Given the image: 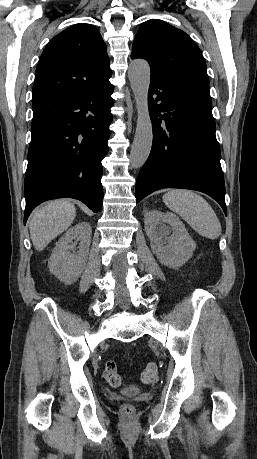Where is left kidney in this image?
<instances>
[{
    "label": "left kidney",
    "mask_w": 257,
    "mask_h": 459,
    "mask_svg": "<svg viewBox=\"0 0 257 459\" xmlns=\"http://www.w3.org/2000/svg\"><path fill=\"white\" fill-rule=\"evenodd\" d=\"M144 224L151 248L162 264L176 269L192 257L196 243L178 216L151 210L145 214Z\"/></svg>",
    "instance_id": "1"
}]
</instances>
